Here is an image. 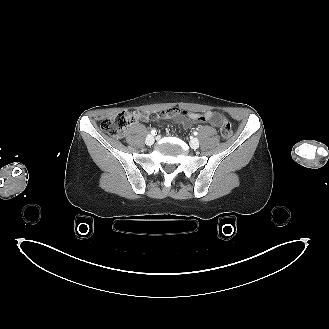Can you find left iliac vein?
Masks as SVG:
<instances>
[{
  "label": "left iliac vein",
  "instance_id": "4c4485c4",
  "mask_svg": "<svg viewBox=\"0 0 329 329\" xmlns=\"http://www.w3.org/2000/svg\"><path fill=\"white\" fill-rule=\"evenodd\" d=\"M191 148L197 149L199 147V140L197 138H193L189 142Z\"/></svg>",
  "mask_w": 329,
  "mask_h": 329
}]
</instances>
